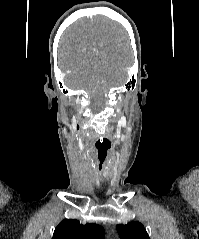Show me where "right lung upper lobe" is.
Instances as JSON below:
<instances>
[{"instance_id": "1", "label": "right lung upper lobe", "mask_w": 199, "mask_h": 239, "mask_svg": "<svg viewBox=\"0 0 199 239\" xmlns=\"http://www.w3.org/2000/svg\"><path fill=\"white\" fill-rule=\"evenodd\" d=\"M104 229L98 224L82 225L78 220L65 219L56 228L52 239H104Z\"/></svg>"}]
</instances>
